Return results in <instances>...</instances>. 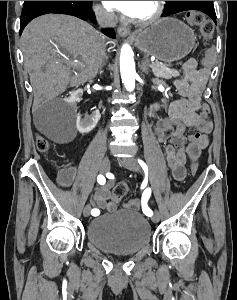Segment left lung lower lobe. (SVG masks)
Wrapping results in <instances>:
<instances>
[{"label": "left lung lower lobe", "mask_w": 237, "mask_h": 300, "mask_svg": "<svg viewBox=\"0 0 237 300\" xmlns=\"http://www.w3.org/2000/svg\"><path fill=\"white\" fill-rule=\"evenodd\" d=\"M187 10H198L201 11L205 14H207L214 22H216V14H215V9L213 3H193V4H185V5H179L175 6L172 9V14L181 12V11H187ZM163 16H169L166 15L165 13Z\"/></svg>", "instance_id": "0a47b994"}]
</instances>
